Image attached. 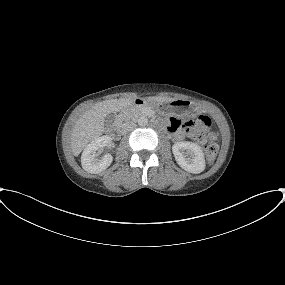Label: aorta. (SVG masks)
<instances>
[{"instance_id":"762f6f07","label":"aorta","mask_w":285,"mask_h":285,"mask_svg":"<svg viewBox=\"0 0 285 285\" xmlns=\"http://www.w3.org/2000/svg\"><path fill=\"white\" fill-rule=\"evenodd\" d=\"M137 122L139 126H146L148 124V119L145 116H141Z\"/></svg>"}]
</instances>
